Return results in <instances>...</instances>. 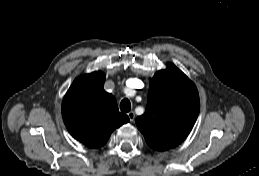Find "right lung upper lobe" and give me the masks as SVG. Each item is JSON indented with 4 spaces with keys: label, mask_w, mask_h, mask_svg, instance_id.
<instances>
[{
    "label": "right lung upper lobe",
    "mask_w": 259,
    "mask_h": 176,
    "mask_svg": "<svg viewBox=\"0 0 259 176\" xmlns=\"http://www.w3.org/2000/svg\"><path fill=\"white\" fill-rule=\"evenodd\" d=\"M105 74L96 71L74 80L62 103V116L70 134L90 148L104 145L113 130L129 122L115 98L104 88Z\"/></svg>",
    "instance_id": "obj_1"
}]
</instances>
